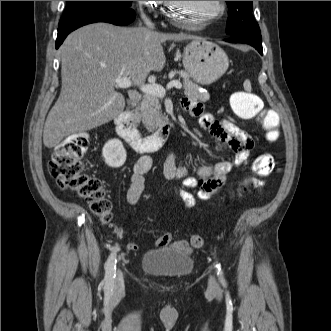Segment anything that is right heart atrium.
<instances>
[{
	"mask_svg": "<svg viewBox=\"0 0 331 331\" xmlns=\"http://www.w3.org/2000/svg\"><path fill=\"white\" fill-rule=\"evenodd\" d=\"M141 19H157L162 1H136Z\"/></svg>",
	"mask_w": 331,
	"mask_h": 331,
	"instance_id": "obj_1",
	"label": "right heart atrium"
}]
</instances>
